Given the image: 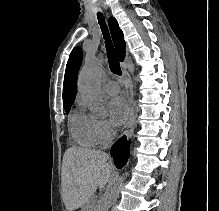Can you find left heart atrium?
<instances>
[{
    "label": "left heart atrium",
    "instance_id": "obj_1",
    "mask_svg": "<svg viewBox=\"0 0 219 211\" xmlns=\"http://www.w3.org/2000/svg\"><path fill=\"white\" fill-rule=\"evenodd\" d=\"M110 120L115 126H122L129 117V108L125 100L121 97H115L108 103Z\"/></svg>",
    "mask_w": 219,
    "mask_h": 211
}]
</instances>
